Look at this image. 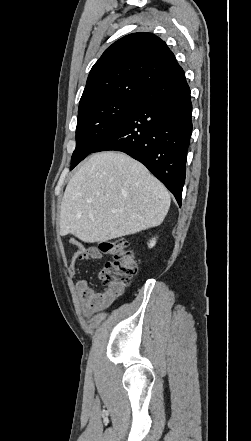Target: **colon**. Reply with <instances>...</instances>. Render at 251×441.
<instances>
[{
	"label": "colon",
	"mask_w": 251,
	"mask_h": 441,
	"mask_svg": "<svg viewBox=\"0 0 251 441\" xmlns=\"http://www.w3.org/2000/svg\"><path fill=\"white\" fill-rule=\"evenodd\" d=\"M98 249L113 257L100 272L101 282L116 291L123 290L137 273L135 255L128 242L123 238L102 241Z\"/></svg>",
	"instance_id": "obj_1"
}]
</instances>
